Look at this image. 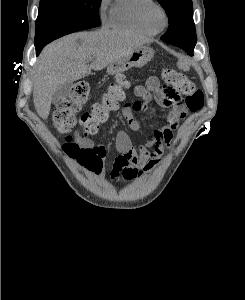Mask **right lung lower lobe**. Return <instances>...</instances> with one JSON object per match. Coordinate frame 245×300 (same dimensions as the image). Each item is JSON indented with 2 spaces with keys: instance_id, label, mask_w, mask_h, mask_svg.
Instances as JSON below:
<instances>
[{
  "instance_id": "right-lung-lower-lobe-1",
  "label": "right lung lower lobe",
  "mask_w": 245,
  "mask_h": 300,
  "mask_svg": "<svg viewBox=\"0 0 245 300\" xmlns=\"http://www.w3.org/2000/svg\"><path fill=\"white\" fill-rule=\"evenodd\" d=\"M100 25V24H99ZM98 25V26H99ZM98 26H95V27H98ZM89 28H92V27H89ZM88 29V28H87ZM46 44H43L41 45L40 47H35L36 48V54L38 55L40 53V51L42 50V48L45 46Z\"/></svg>"
}]
</instances>
